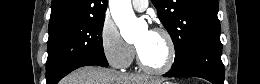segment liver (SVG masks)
Segmentation results:
<instances>
[{
    "label": "liver",
    "mask_w": 260,
    "mask_h": 84,
    "mask_svg": "<svg viewBox=\"0 0 260 84\" xmlns=\"http://www.w3.org/2000/svg\"><path fill=\"white\" fill-rule=\"evenodd\" d=\"M63 84H159V81L146 75H129L113 69L86 66L70 73Z\"/></svg>",
    "instance_id": "obj_1"
}]
</instances>
